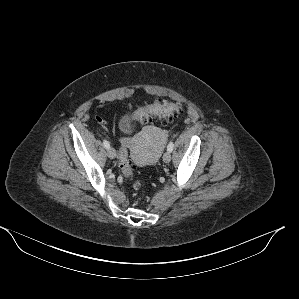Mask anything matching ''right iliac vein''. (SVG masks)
Listing matches in <instances>:
<instances>
[{
	"mask_svg": "<svg viewBox=\"0 0 299 299\" xmlns=\"http://www.w3.org/2000/svg\"><path fill=\"white\" fill-rule=\"evenodd\" d=\"M107 154L110 159H114L116 157V151L114 148H109Z\"/></svg>",
	"mask_w": 299,
	"mask_h": 299,
	"instance_id": "63e3f726",
	"label": "right iliac vein"
}]
</instances>
